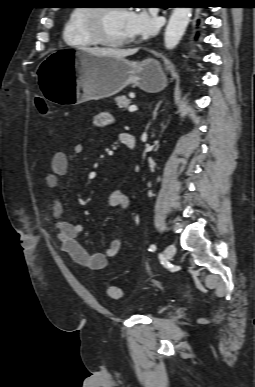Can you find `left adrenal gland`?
<instances>
[{"mask_svg": "<svg viewBox=\"0 0 255 387\" xmlns=\"http://www.w3.org/2000/svg\"><path fill=\"white\" fill-rule=\"evenodd\" d=\"M161 104H162V101H159V102L156 104V107H155V109L153 110V113H152V115H153V120L156 119L157 114H158V110H159Z\"/></svg>", "mask_w": 255, "mask_h": 387, "instance_id": "left-adrenal-gland-1", "label": "left adrenal gland"}]
</instances>
